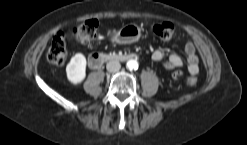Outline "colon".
Segmentation results:
<instances>
[{
    "instance_id": "5ec220e1",
    "label": "colon",
    "mask_w": 247,
    "mask_h": 145,
    "mask_svg": "<svg viewBox=\"0 0 247 145\" xmlns=\"http://www.w3.org/2000/svg\"><path fill=\"white\" fill-rule=\"evenodd\" d=\"M98 21L96 19H89L74 28V36L77 41L81 43H86L95 38L98 29ZM153 32L163 40L171 39L175 34V27L172 23L165 22L157 24L153 27ZM67 56L66 43H65V33L58 31L51 42V45L47 52V59L50 63L55 65H61L64 63ZM182 72L177 70L173 73L175 79L180 78ZM197 83L196 76H188L186 79V84L189 86H194Z\"/></svg>"
}]
</instances>
